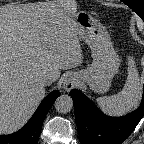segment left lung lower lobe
I'll use <instances>...</instances> for the list:
<instances>
[{"mask_svg": "<svg viewBox=\"0 0 144 144\" xmlns=\"http://www.w3.org/2000/svg\"><path fill=\"white\" fill-rule=\"evenodd\" d=\"M75 120L82 144H121L133 132L144 115V89L140 107L123 117L104 115L81 91L70 92Z\"/></svg>", "mask_w": 144, "mask_h": 144, "instance_id": "left-lung-lower-lobe-1", "label": "left lung lower lobe"}]
</instances>
